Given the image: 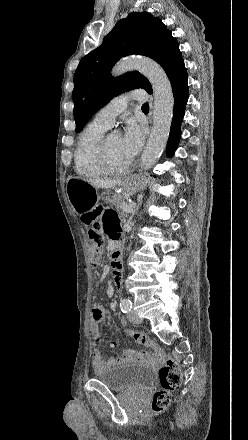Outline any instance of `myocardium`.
Listing matches in <instances>:
<instances>
[{"mask_svg":"<svg viewBox=\"0 0 248 440\" xmlns=\"http://www.w3.org/2000/svg\"><path fill=\"white\" fill-rule=\"evenodd\" d=\"M108 136L104 135L103 138L100 141L99 148H98V162L101 168L105 173L108 174H123L130 170L131 168V162H129L127 165L123 167H116L114 166L109 157V151H108Z\"/></svg>","mask_w":248,"mask_h":440,"instance_id":"f54148a6","label":"myocardium"}]
</instances>
